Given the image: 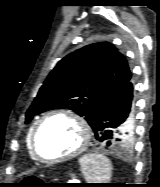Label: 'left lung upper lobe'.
Wrapping results in <instances>:
<instances>
[{"label":"left lung upper lobe","instance_id":"obj_1","mask_svg":"<svg viewBox=\"0 0 160 187\" xmlns=\"http://www.w3.org/2000/svg\"><path fill=\"white\" fill-rule=\"evenodd\" d=\"M125 57L109 42L87 45L64 57L50 72L26 113L68 108L84 116L92 127L105 100L131 79ZM127 127L123 124L119 130ZM134 127L123 144L130 147Z\"/></svg>","mask_w":160,"mask_h":187}]
</instances>
